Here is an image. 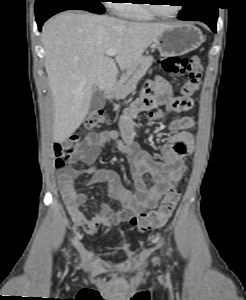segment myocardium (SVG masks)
<instances>
[{"label":"myocardium","instance_id":"obj_1","mask_svg":"<svg viewBox=\"0 0 246 300\" xmlns=\"http://www.w3.org/2000/svg\"><path fill=\"white\" fill-rule=\"evenodd\" d=\"M148 3L145 5L147 9L155 16L168 19V18H174L178 16L183 8V6L179 5L177 10L172 14H164L159 9L157 4L154 3L153 0H146Z\"/></svg>","mask_w":246,"mask_h":300}]
</instances>
